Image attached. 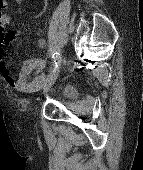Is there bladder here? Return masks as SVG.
Listing matches in <instances>:
<instances>
[{"label":"bladder","mask_w":143,"mask_h":170,"mask_svg":"<svg viewBox=\"0 0 143 170\" xmlns=\"http://www.w3.org/2000/svg\"><path fill=\"white\" fill-rule=\"evenodd\" d=\"M59 94L62 98H71L73 96V91L70 86L63 85L59 88Z\"/></svg>","instance_id":"bladder-1"}]
</instances>
